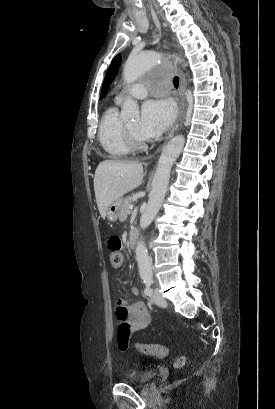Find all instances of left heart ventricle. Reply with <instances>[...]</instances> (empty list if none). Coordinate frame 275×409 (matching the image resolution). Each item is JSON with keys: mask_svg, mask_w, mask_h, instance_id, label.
I'll return each instance as SVG.
<instances>
[{"mask_svg": "<svg viewBox=\"0 0 275 409\" xmlns=\"http://www.w3.org/2000/svg\"><path fill=\"white\" fill-rule=\"evenodd\" d=\"M139 118H136L129 123H127V126L131 129V131L136 135V137L142 141H147L148 139L145 138L139 131Z\"/></svg>", "mask_w": 275, "mask_h": 409, "instance_id": "b2bd125f", "label": "left heart ventricle"}]
</instances>
